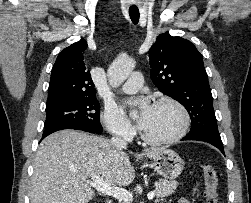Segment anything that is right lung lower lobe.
<instances>
[{"label":"right lung lower lobe","mask_w":251,"mask_h":203,"mask_svg":"<svg viewBox=\"0 0 251 203\" xmlns=\"http://www.w3.org/2000/svg\"><path fill=\"white\" fill-rule=\"evenodd\" d=\"M63 129H75V130H82V131H86V132H90V133L99 134L97 131L92 130L91 128H88V127L83 126L81 124L71 123V124H63V125H59V126L45 129V131L43 132L42 139H44L46 136H48L49 134H51L53 132H56L58 130H63Z\"/></svg>","instance_id":"right-lung-lower-lobe-1"}]
</instances>
